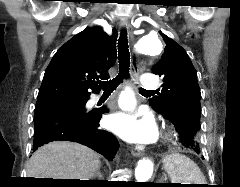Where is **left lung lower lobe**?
<instances>
[{
	"mask_svg": "<svg viewBox=\"0 0 240 187\" xmlns=\"http://www.w3.org/2000/svg\"><path fill=\"white\" fill-rule=\"evenodd\" d=\"M175 127L179 132L180 142L182 145L188 149L194 150L196 153H199V142L196 131L189 126L175 125Z\"/></svg>",
	"mask_w": 240,
	"mask_h": 187,
	"instance_id": "obj_1",
	"label": "left lung lower lobe"
}]
</instances>
